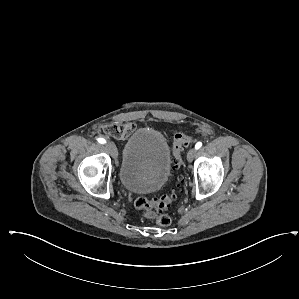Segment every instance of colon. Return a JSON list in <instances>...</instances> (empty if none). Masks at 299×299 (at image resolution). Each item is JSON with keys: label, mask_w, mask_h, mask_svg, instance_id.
<instances>
[{"label": "colon", "mask_w": 299, "mask_h": 299, "mask_svg": "<svg viewBox=\"0 0 299 299\" xmlns=\"http://www.w3.org/2000/svg\"><path fill=\"white\" fill-rule=\"evenodd\" d=\"M194 141L192 135L176 134L173 138V155L175 158V166L179 167L181 159V151L184 147L190 145ZM176 192L162 195L152 199L139 197L135 200L134 206L141 211L147 218L154 219L159 226H168L171 223V218L168 214L163 213L167 210L171 203L176 198Z\"/></svg>", "instance_id": "1"}]
</instances>
